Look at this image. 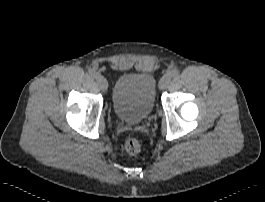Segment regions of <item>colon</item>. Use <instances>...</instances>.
<instances>
[{"mask_svg": "<svg viewBox=\"0 0 265 202\" xmlns=\"http://www.w3.org/2000/svg\"><path fill=\"white\" fill-rule=\"evenodd\" d=\"M124 146H125V150L131 155H136L141 150V143L139 139L136 137L127 138Z\"/></svg>", "mask_w": 265, "mask_h": 202, "instance_id": "5ec220e1", "label": "colon"}]
</instances>
